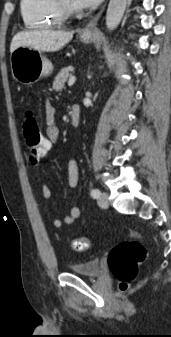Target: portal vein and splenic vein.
I'll return each instance as SVG.
<instances>
[{
    "label": "portal vein and splenic vein",
    "mask_w": 171,
    "mask_h": 337,
    "mask_svg": "<svg viewBox=\"0 0 171 337\" xmlns=\"http://www.w3.org/2000/svg\"><path fill=\"white\" fill-rule=\"evenodd\" d=\"M76 81V77L75 76H71L69 78V81H68V86H72Z\"/></svg>",
    "instance_id": "1"
}]
</instances>
